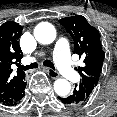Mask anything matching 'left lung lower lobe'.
I'll use <instances>...</instances> for the list:
<instances>
[{"label": "left lung lower lobe", "mask_w": 117, "mask_h": 117, "mask_svg": "<svg viewBox=\"0 0 117 117\" xmlns=\"http://www.w3.org/2000/svg\"><path fill=\"white\" fill-rule=\"evenodd\" d=\"M58 99L65 105H79L84 104L88 97L81 88H75L71 95L58 97Z\"/></svg>", "instance_id": "1"}]
</instances>
